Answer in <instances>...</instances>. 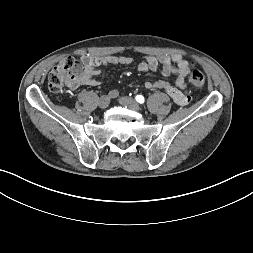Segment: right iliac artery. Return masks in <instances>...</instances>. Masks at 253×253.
<instances>
[{
    "label": "right iliac artery",
    "mask_w": 253,
    "mask_h": 253,
    "mask_svg": "<svg viewBox=\"0 0 253 253\" xmlns=\"http://www.w3.org/2000/svg\"><path fill=\"white\" fill-rule=\"evenodd\" d=\"M108 96L109 98H116L119 96V92L117 90H111L109 93H108Z\"/></svg>",
    "instance_id": "obj_1"
}]
</instances>
